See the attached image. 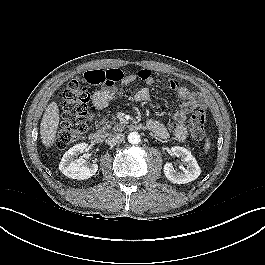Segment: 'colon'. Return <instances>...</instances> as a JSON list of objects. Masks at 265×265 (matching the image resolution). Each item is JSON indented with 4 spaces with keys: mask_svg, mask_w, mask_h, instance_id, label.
I'll list each match as a JSON object with an SVG mask.
<instances>
[{
    "mask_svg": "<svg viewBox=\"0 0 265 265\" xmlns=\"http://www.w3.org/2000/svg\"><path fill=\"white\" fill-rule=\"evenodd\" d=\"M117 70L92 71L86 75V82L93 85L111 84L117 80ZM150 71L141 70L137 73L143 79ZM90 93L79 79H73L63 92V107L60 127L56 136V146L64 149L75 143L86 128L87 105ZM207 112L197 108L189 119L191 135L195 140H203L206 136Z\"/></svg>",
    "mask_w": 265,
    "mask_h": 265,
    "instance_id": "obj_1",
    "label": "colon"
}]
</instances>
